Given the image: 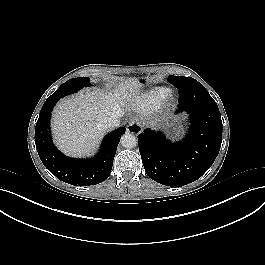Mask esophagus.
Segmentation results:
<instances>
[{"mask_svg":"<svg viewBox=\"0 0 265 265\" xmlns=\"http://www.w3.org/2000/svg\"><path fill=\"white\" fill-rule=\"evenodd\" d=\"M127 131L130 133H140L142 131V124L140 122L137 121H132L128 128Z\"/></svg>","mask_w":265,"mask_h":265,"instance_id":"34e87169","label":"esophagus"}]
</instances>
